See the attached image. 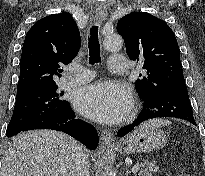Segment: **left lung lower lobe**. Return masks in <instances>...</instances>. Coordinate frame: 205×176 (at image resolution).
Listing matches in <instances>:
<instances>
[{
    "mask_svg": "<svg viewBox=\"0 0 205 176\" xmlns=\"http://www.w3.org/2000/svg\"><path fill=\"white\" fill-rule=\"evenodd\" d=\"M143 101V110L132 124L118 131L119 137L126 135L136 126L152 118L174 117L196 125L186 85H170L163 90L154 92L151 97Z\"/></svg>",
    "mask_w": 205,
    "mask_h": 176,
    "instance_id": "0a47b994",
    "label": "left lung lower lobe"
}]
</instances>
